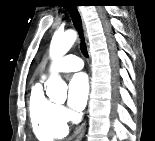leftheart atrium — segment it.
Returning <instances> with one entry per match:
<instances>
[{
  "instance_id": "1",
  "label": "left heart atrium",
  "mask_w": 155,
  "mask_h": 141,
  "mask_svg": "<svg viewBox=\"0 0 155 141\" xmlns=\"http://www.w3.org/2000/svg\"><path fill=\"white\" fill-rule=\"evenodd\" d=\"M89 96L88 77L84 73L74 75L69 83V105L77 110H82Z\"/></svg>"
}]
</instances>
